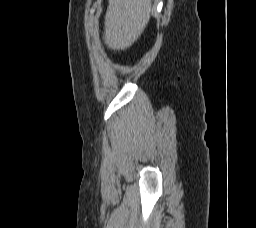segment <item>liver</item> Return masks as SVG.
<instances>
[{"label": "liver", "mask_w": 256, "mask_h": 228, "mask_svg": "<svg viewBox=\"0 0 256 228\" xmlns=\"http://www.w3.org/2000/svg\"><path fill=\"white\" fill-rule=\"evenodd\" d=\"M108 3L103 40L110 49L125 50L148 24L151 0H109Z\"/></svg>", "instance_id": "1"}]
</instances>
